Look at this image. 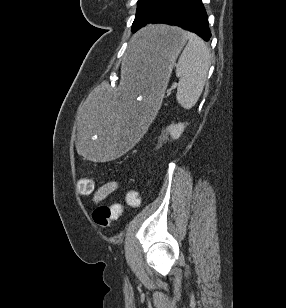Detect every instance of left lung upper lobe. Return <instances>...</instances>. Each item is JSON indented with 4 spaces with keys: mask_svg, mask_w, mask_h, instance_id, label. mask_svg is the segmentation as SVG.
<instances>
[{
    "mask_svg": "<svg viewBox=\"0 0 286 308\" xmlns=\"http://www.w3.org/2000/svg\"><path fill=\"white\" fill-rule=\"evenodd\" d=\"M172 0H138L136 19L132 25V32H136L148 23H153L162 10L169 6Z\"/></svg>",
    "mask_w": 286,
    "mask_h": 308,
    "instance_id": "5c2ea615",
    "label": "left lung upper lobe"
}]
</instances>
